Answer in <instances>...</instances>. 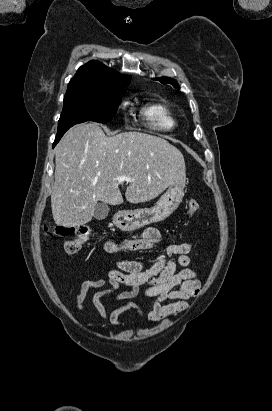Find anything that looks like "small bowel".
Wrapping results in <instances>:
<instances>
[{"instance_id": "obj_1", "label": "small bowel", "mask_w": 272, "mask_h": 411, "mask_svg": "<svg viewBox=\"0 0 272 411\" xmlns=\"http://www.w3.org/2000/svg\"><path fill=\"white\" fill-rule=\"evenodd\" d=\"M161 241V233L155 227L145 229L140 235L121 242L107 241L104 249L109 254L129 253L153 249ZM193 243L170 244L159 251L153 263L140 260H119L117 269L110 270L106 278L85 280L75 297L76 307L83 311L84 302L90 290L92 303L100 318L115 326H122L121 316L135 311L141 321L158 323L167 317L177 315L189 308L188 299L199 295L200 281L197 273L189 267V253ZM108 284V286H106ZM130 290L119 292L120 286ZM154 298L152 309L145 314L134 298L140 294ZM113 296L114 302H124L108 312L102 299ZM93 326L92 323L88 324Z\"/></svg>"}]
</instances>
